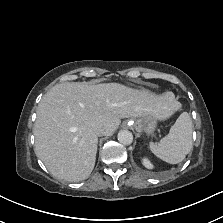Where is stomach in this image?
<instances>
[{
    "label": "stomach",
    "instance_id": "stomach-1",
    "mask_svg": "<svg viewBox=\"0 0 223 223\" xmlns=\"http://www.w3.org/2000/svg\"><path fill=\"white\" fill-rule=\"evenodd\" d=\"M133 127L138 132L145 131L147 134H152L156 128L157 120L153 116L138 117L132 121Z\"/></svg>",
    "mask_w": 223,
    "mask_h": 223
}]
</instances>
